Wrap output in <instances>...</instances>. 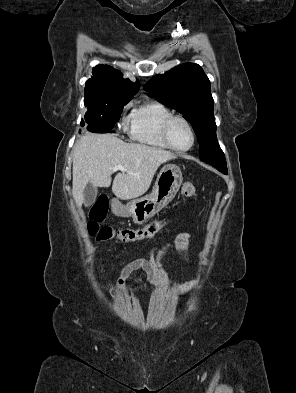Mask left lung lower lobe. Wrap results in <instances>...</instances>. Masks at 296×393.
Instances as JSON below:
<instances>
[{
	"label": "left lung lower lobe",
	"mask_w": 296,
	"mask_h": 393,
	"mask_svg": "<svg viewBox=\"0 0 296 393\" xmlns=\"http://www.w3.org/2000/svg\"><path fill=\"white\" fill-rule=\"evenodd\" d=\"M219 171H221L222 173H224V174H227L228 173V171H227V169H223V168H217Z\"/></svg>",
	"instance_id": "left-lung-lower-lobe-1"
}]
</instances>
